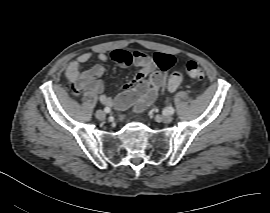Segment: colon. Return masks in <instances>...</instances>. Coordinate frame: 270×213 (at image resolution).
<instances>
[{"label":"colon","mask_w":270,"mask_h":213,"mask_svg":"<svg viewBox=\"0 0 270 213\" xmlns=\"http://www.w3.org/2000/svg\"><path fill=\"white\" fill-rule=\"evenodd\" d=\"M140 52L136 51L132 54L128 53L127 51L124 50H116L113 51L110 56L112 59L119 63H129L132 59L133 56L138 55ZM155 62L161 64L163 67L167 68L171 65L172 59L170 56L166 55H155L154 57L151 58ZM186 70L188 75L195 79V80H203L205 74L203 68L196 63L195 61H189L186 64ZM145 72H141L139 75L141 77L145 76ZM182 83V75L180 72H174L170 75L169 80H168V88L170 90H174L180 86ZM137 97V93L133 92L129 94L126 99L127 101H132Z\"/></svg>","instance_id":"colon-1"}]
</instances>
